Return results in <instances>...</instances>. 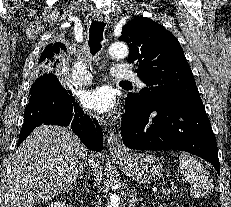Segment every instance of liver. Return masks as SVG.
Masks as SVG:
<instances>
[{
  "label": "liver",
  "instance_id": "1",
  "mask_svg": "<svg viewBox=\"0 0 231 207\" xmlns=\"http://www.w3.org/2000/svg\"><path fill=\"white\" fill-rule=\"evenodd\" d=\"M65 127L42 125L19 146L13 157L8 191L11 207H35L71 186L89 160L96 183L102 176L98 157Z\"/></svg>",
  "mask_w": 231,
  "mask_h": 207
}]
</instances>
